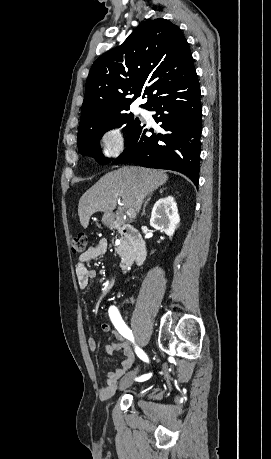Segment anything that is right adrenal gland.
Wrapping results in <instances>:
<instances>
[{
    "label": "right adrenal gland",
    "instance_id": "right-adrenal-gland-1",
    "mask_svg": "<svg viewBox=\"0 0 271 459\" xmlns=\"http://www.w3.org/2000/svg\"><path fill=\"white\" fill-rule=\"evenodd\" d=\"M150 196H152V194H150ZM150 196H148L147 200H145V202H144L143 212H142L141 216H145V208H146L147 204H149V202L151 200Z\"/></svg>",
    "mask_w": 271,
    "mask_h": 459
}]
</instances>
